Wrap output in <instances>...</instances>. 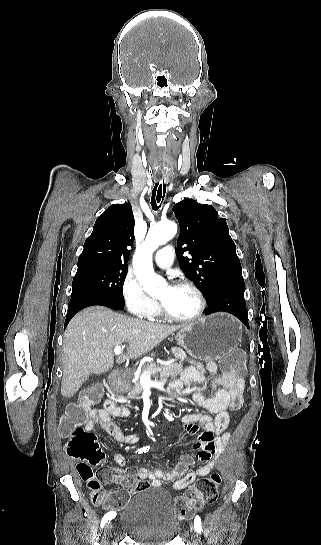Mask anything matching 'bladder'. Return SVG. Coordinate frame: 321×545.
I'll return each mask as SVG.
<instances>
[{
	"label": "bladder",
	"instance_id": "1",
	"mask_svg": "<svg viewBox=\"0 0 321 545\" xmlns=\"http://www.w3.org/2000/svg\"><path fill=\"white\" fill-rule=\"evenodd\" d=\"M125 533L139 545H166L178 534L180 523L169 492L148 488L136 492L120 514Z\"/></svg>",
	"mask_w": 321,
	"mask_h": 545
}]
</instances>
